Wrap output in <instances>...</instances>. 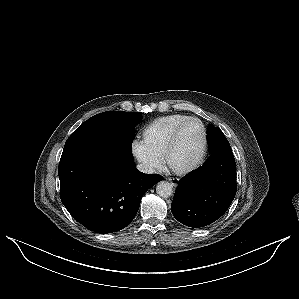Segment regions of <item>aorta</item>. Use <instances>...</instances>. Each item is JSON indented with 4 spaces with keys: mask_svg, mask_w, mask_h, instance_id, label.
Returning <instances> with one entry per match:
<instances>
[{
    "mask_svg": "<svg viewBox=\"0 0 299 299\" xmlns=\"http://www.w3.org/2000/svg\"><path fill=\"white\" fill-rule=\"evenodd\" d=\"M157 194L162 198H168L173 193V186L167 181H161L156 186Z\"/></svg>",
    "mask_w": 299,
    "mask_h": 299,
    "instance_id": "762f6f07",
    "label": "aorta"
}]
</instances>
